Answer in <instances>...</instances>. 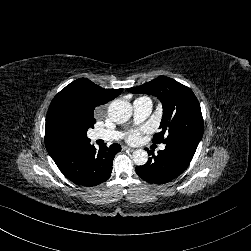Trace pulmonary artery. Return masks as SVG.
I'll list each match as a JSON object with an SVG mask.
<instances>
[{"label": "pulmonary artery", "mask_w": 251, "mask_h": 251, "mask_svg": "<svg viewBox=\"0 0 251 251\" xmlns=\"http://www.w3.org/2000/svg\"><path fill=\"white\" fill-rule=\"evenodd\" d=\"M152 108L153 103L148 97L137 98L133 102L134 116L137 120H143L147 118L150 115ZM98 136L103 139H116L118 137V134L116 132H108L105 134L100 133ZM159 145L160 149L163 150L167 147L168 144L163 140Z\"/></svg>", "instance_id": "1"}]
</instances>
